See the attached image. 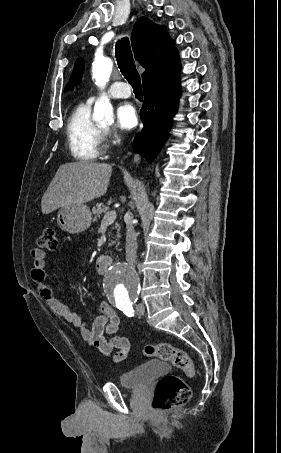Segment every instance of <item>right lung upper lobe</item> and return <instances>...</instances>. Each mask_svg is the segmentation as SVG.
Instances as JSON below:
<instances>
[{
    "mask_svg": "<svg viewBox=\"0 0 281 453\" xmlns=\"http://www.w3.org/2000/svg\"><path fill=\"white\" fill-rule=\"evenodd\" d=\"M131 42L135 59L146 68L142 78L177 53L166 27L141 17L134 25Z\"/></svg>",
    "mask_w": 281,
    "mask_h": 453,
    "instance_id": "right-lung-upper-lobe-1",
    "label": "right lung upper lobe"
}]
</instances>
